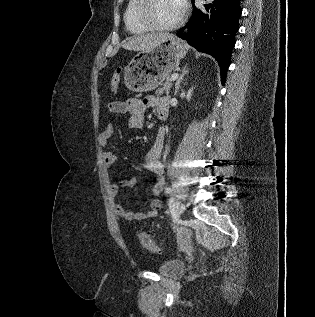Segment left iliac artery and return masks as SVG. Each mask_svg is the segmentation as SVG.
<instances>
[{"mask_svg":"<svg viewBox=\"0 0 315 317\" xmlns=\"http://www.w3.org/2000/svg\"><path fill=\"white\" fill-rule=\"evenodd\" d=\"M165 191H166V193H168V194H171V193H172V189H171L170 187L166 188ZM173 202H174V198L171 197V199H170V204H173Z\"/></svg>","mask_w":315,"mask_h":317,"instance_id":"obj_1","label":"left iliac artery"}]
</instances>
